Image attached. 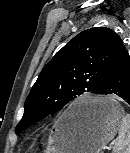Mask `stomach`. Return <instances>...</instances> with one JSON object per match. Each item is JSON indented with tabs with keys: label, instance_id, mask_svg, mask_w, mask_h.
<instances>
[{
	"label": "stomach",
	"instance_id": "stomach-1",
	"mask_svg": "<svg viewBox=\"0 0 130 153\" xmlns=\"http://www.w3.org/2000/svg\"><path fill=\"white\" fill-rule=\"evenodd\" d=\"M84 108L85 115L75 114ZM123 116L122 107L111 97L79 99L52 129L48 153H99L116 135Z\"/></svg>",
	"mask_w": 130,
	"mask_h": 153
}]
</instances>
